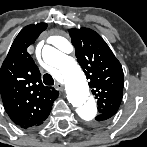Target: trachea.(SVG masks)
<instances>
[{
	"mask_svg": "<svg viewBox=\"0 0 147 147\" xmlns=\"http://www.w3.org/2000/svg\"><path fill=\"white\" fill-rule=\"evenodd\" d=\"M43 82H44L46 85H48V86L54 85V79H53V77H52L50 74H48V73H46V74L43 75Z\"/></svg>",
	"mask_w": 147,
	"mask_h": 147,
	"instance_id": "3493384b",
	"label": "trachea"
}]
</instances>
